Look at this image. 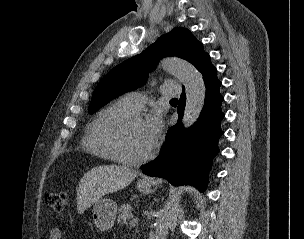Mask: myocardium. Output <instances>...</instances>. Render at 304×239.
Wrapping results in <instances>:
<instances>
[{"instance_id": "f54148a6", "label": "myocardium", "mask_w": 304, "mask_h": 239, "mask_svg": "<svg viewBox=\"0 0 304 239\" xmlns=\"http://www.w3.org/2000/svg\"><path fill=\"white\" fill-rule=\"evenodd\" d=\"M136 122H144V118L140 114H131L118 121L110 131V144L114 152L116 160L123 164L137 165L146 162L153 156L154 148H151L147 153L138 157H129L122 150V138L125 131Z\"/></svg>"}]
</instances>
